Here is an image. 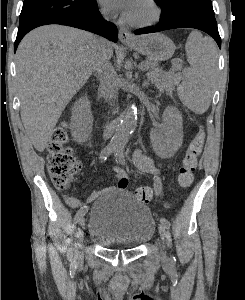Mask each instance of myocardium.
<instances>
[{
	"instance_id": "myocardium-1",
	"label": "myocardium",
	"mask_w": 245,
	"mask_h": 300,
	"mask_svg": "<svg viewBox=\"0 0 245 300\" xmlns=\"http://www.w3.org/2000/svg\"><path fill=\"white\" fill-rule=\"evenodd\" d=\"M147 4L152 9V16L150 19L145 21H134L131 19H126L127 23L133 27L145 28L156 24L161 18V8L156 2V0H146Z\"/></svg>"
}]
</instances>
